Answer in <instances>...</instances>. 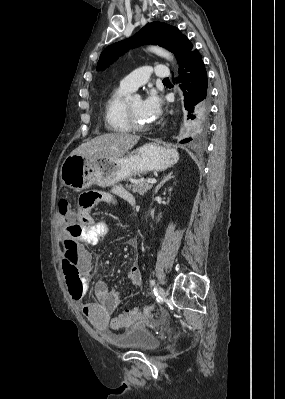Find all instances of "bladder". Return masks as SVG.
I'll list each match as a JSON object with an SVG mask.
<instances>
[{"mask_svg": "<svg viewBox=\"0 0 285 399\" xmlns=\"http://www.w3.org/2000/svg\"><path fill=\"white\" fill-rule=\"evenodd\" d=\"M118 344L123 349H132L147 353L153 352L159 347V341L153 334L140 326L128 328L122 337L118 339Z\"/></svg>", "mask_w": 285, "mask_h": 399, "instance_id": "1", "label": "bladder"}]
</instances>
